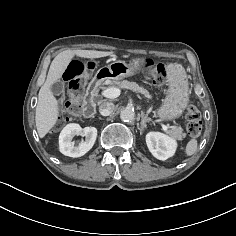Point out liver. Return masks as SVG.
<instances>
[{
    "label": "liver",
    "instance_id": "6515ba94",
    "mask_svg": "<svg viewBox=\"0 0 236 236\" xmlns=\"http://www.w3.org/2000/svg\"><path fill=\"white\" fill-rule=\"evenodd\" d=\"M113 51L96 50H65L59 53L52 61L47 78L38 94V103L35 113L37 132L43 138L56 124L59 116L58 102L50 90V86L60 79L74 56L82 58H101L112 55Z\"/></svg>",
    "mask_w": 236,
    "mask_h": 236
}]
</instances>
